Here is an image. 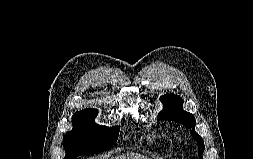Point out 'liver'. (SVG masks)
<instances>
[{
    "label": "liver",
    "mask_w": 253,
    "mask_h": 159,
    "mask_svg": "<svg viewBox=\"0 0 253 159\" xmlns=\"http://www.w3.org/2000/svg\"><path fill=\"white\" fill-rule=\"evenodd\" d=\"M112 159H148L141 154H127L113 157Z\"/></svg>",
    "instance_id": "obj_1"
}]
</instances>
